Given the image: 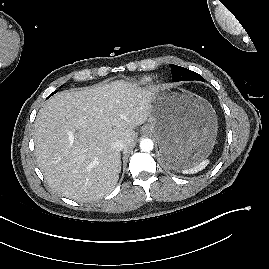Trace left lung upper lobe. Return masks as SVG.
Wrapping results in <instances>:
<instances>
[{
    "mask_svg": "<svg viewBox=\"0 0 269 269\" xmlns=\"http://www.w3.org/2000/svg\"><path fill=\"white\" fill-rule=\"evenodd\" d=\"M170 67L172 68V70H171L172 80L174 82L187 81V80L204 81V78L201 75H199L191 70H188L184 67H180V66L173 65V64H170Z\"/></svg>",
    "mask_w": 269,
    "mask_h": 269,
    "instance_id": "1",
    "label": "left lung upper lobe"
}]
</instances>
